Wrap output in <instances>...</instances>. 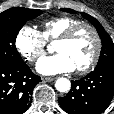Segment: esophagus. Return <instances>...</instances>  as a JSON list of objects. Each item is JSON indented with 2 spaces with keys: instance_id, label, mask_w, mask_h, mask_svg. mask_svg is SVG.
Returning a JSON list of instances; mask_svg holds the SVG:
<instances>
[{
  "instance_id": "1",
  "label": "esophagus",
  "mask_w": 114,
  "mask_h": 114,
  "mask_svg": "<svg viewBox=\"0 0 114 114\" xmlns=\"http://www.w3.org/2000/svg\"><path fill=\"white\" fill-rule=\"evenodd\" d=\"M41 79H42V81H44V82H51V81H53L55 78L43 76V77H41Z\"/></svg>"
}]
</instances>
